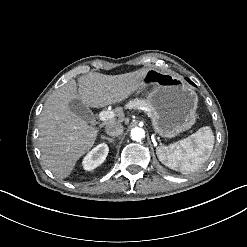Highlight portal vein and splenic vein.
I'll return each instance as SVG.
<instances>
[{
    "label": "portal vein and splenic vein",
    "mask_w": 247,
    "mask_h": 247,
    "mask_svg": "<svg viewBox=\"0 0 247 247\" xmlns=\"http://www.w3.org/2000/svg\"><path fill=\"white\" fill-rule=\"evenodd\" d=\"M115 117V114L113 111H101L99 113V119L101 121H106V120H110L112 118ZM154 145H157V143L155 142Z\"/></svg>",
    "instance_id": "obj_1"
}]
</instances>
